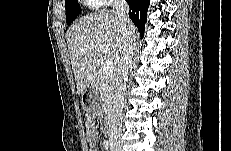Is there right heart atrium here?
I'll return each instance as SVG.
<instances>
[{"mask_svg": "<svg viewBox=\"0 0 231 151\" xmlns=\"http://www.w3.org/2000/svg\"><path fill=\"white\" fill-rule=\"evenodd\" d=\"M88 3L91 4L94 7H100V6H104L106 4L113 3V1H107V0H89Z\"/></svg>", "mask_w": 231, "mask_h": 151, "instance_id": "1", "label": "right heart atrium"}]
</instances>
